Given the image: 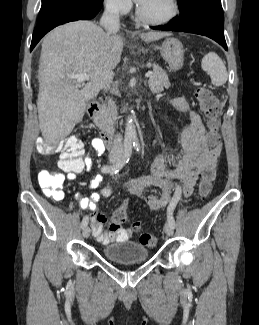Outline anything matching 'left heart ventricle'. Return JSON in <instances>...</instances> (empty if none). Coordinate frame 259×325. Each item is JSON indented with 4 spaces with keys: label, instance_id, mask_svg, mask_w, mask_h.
<instances>
[{
    "label": "left heart ventricle",
    "instance_id": "left-heart-ventricle-1",
    "mask_svg": "<svg viewBox=\"0 0 259 325\" xmlns=\"http://www.w3.org/2000/svg\"><path fill=\"white\" fill-rule=\"evenodd\" d=\"M141 7L150 17H162L169 11L168 0H147Z\"/></svg>",
    "mask_w": 259,
    "mask_h": 325
}]
</instances>
